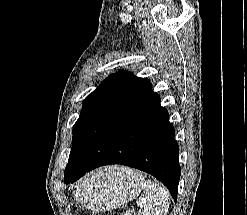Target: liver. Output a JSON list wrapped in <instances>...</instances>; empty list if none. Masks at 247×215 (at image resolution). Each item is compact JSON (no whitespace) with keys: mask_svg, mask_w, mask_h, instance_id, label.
Returning a JSON list of instances; mask_svg holds the SVG:
<instances>
[{"mask_svg":"<svg viewBox=\"0 0 247 215\" xmlns=\"http://www.w3.org/2000/svg\"><path fill=\"white\" fill-rule=\"evenodd\" d=\"M109 168L111 169V168H113V167H109ZM120 171H121V172H125V171H127V169H126V168H121Z\"/></svg>","mask_w":247,"mask_h":215,"instance_id":"1","label":"liver"}]
</instances>
